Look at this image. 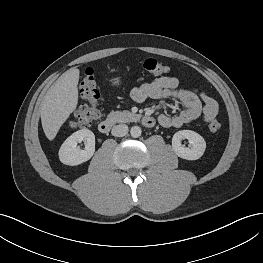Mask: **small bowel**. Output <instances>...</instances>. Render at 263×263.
<instances>
[{"label":"small bowel","mask_w":263,"mask_h":263,"mask_svg":"<svg viewBox=\"0 0 263 263\" xmlns=\"http://www.w3.org/2000/svg\"><path fill=\"white\" fill-rule=\"evenodd\" d=\"M131 98L142 103L148 98H175L181 102L183 109L175 115L161 114L158 122L165 128H180L203 116L205 121L214 119L218 113L217 102L197 88L180 89L179 81L172 76H162L151 82L144 83L131 90Z\"/></svg>","instance_id":"1"}]
</instances>
